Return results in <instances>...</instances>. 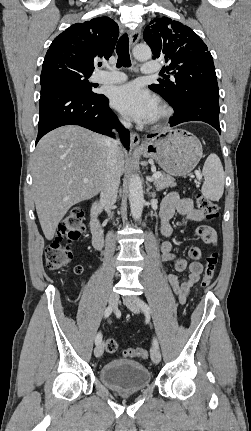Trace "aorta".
<instances>
[{
  "label": "aorta",
  "instance_id": "762f6f07",
  "mask_svg": "<svg viewBox=\"0 0 251 431\" xmlns=\"http://www.w3.org/2000/svg\"><path fill=\"white\" fill-rule=\"evenodd\" d=\"M133 56L137 60H148L151 58L152 52L147 45H137L133 49ZM144 202L140 177L136 174L132 175L129 181V203L134 220H138L141 217Z\"/></svg>",
  "mask_w": 251,
  "mask_h": 431
}]
</instances>
